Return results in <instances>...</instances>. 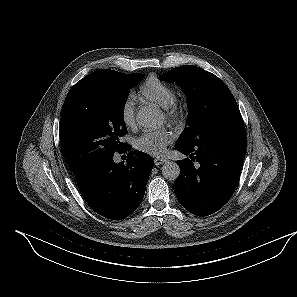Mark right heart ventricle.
<instances>
[{"mask_svg": "<svg viewBox=\"0 0 297 297\" xmlns=\"http://www.w3.org/2000/svg\"><path fill=\"white\" fill-rule=\"evenodd\" d=\"M139 96L162 108L169 107L176 100L174 89L155 76L147 78L139 87Z\"/></svg>", "mask_w": 297, "mask_h": 297, "instance_id": "e07e8e85", "label": "right heart ventricle"}]
</instances>
